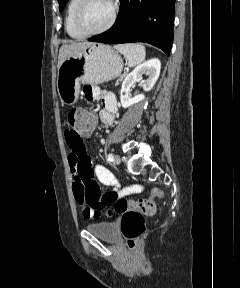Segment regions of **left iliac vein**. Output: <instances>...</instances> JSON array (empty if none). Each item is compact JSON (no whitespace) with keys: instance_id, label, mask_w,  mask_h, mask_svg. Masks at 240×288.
<instances>
[{"instance_id":"1","label":"left iliac vein","mask_w":240,"mask_h":288,"mask_svg":"<svg viewBox=\"0 0 240 288\" xmlns=\"http://www.w3.org/2000/svg\"><path fill=\"white\" fill-rule=\"evenodd\" d=\"M114 163L117 164V165L121 163V158H120L119 155H115V157H114Z\"/></svg>"}]
</instances>
